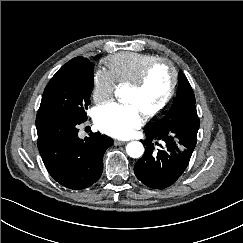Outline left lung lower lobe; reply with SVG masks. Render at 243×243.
I'll return each mask as SVG.
<instances>
[{"mask_svg":"<svg viewBox=\"0 0 243 243\" xmlns=\"http://www.w3.org/2000/svg\"><path fill=\"white\" fill-rule=\"evenodd\" d=\"M196 129L189 124H176L160 131L144 130L141 141L145 152L134 166L136 177L146 186L164 189L185 171L197 142Z\"/></svg>","mask_w":243,"mask_h":243,"instance_id":"0a47b994","label":"left lung lower lobe"}]
</instances>
